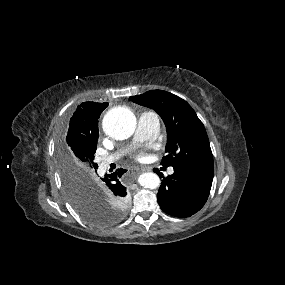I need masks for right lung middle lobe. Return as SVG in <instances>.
Instances as JSON below:
<instances>
[{"mask_svg": "<svg viewBox=\"0 0 285 285\" xmlns=\"http://www.w3.org/2000/svg\"><path fill=\"white\" fill-rule=\"evenodd\" d=\"M97 144L70 150L63 143L58 145V169L67 197L76 212L86 221L97 226H108L117 221L125 211L126 203L117 200L99 185L94 154ZM102 190L105 198H101Z\"/></svg>", "mask_w": 285, "mask_h": 285, "instance_id": "dd1d6c3e", "label": "right lung middle lobe"}]
</instances>
